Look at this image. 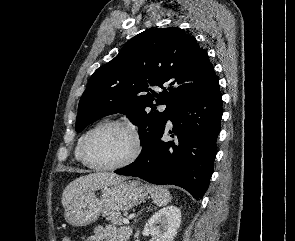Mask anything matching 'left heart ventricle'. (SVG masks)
<instances>
[{"label": "left heart ventricle", "mask_w": 295, "mask_h": 241, "mask_svg": "<svg viewBox=\"0 0 295 241\" xmlns=\"http://www.w3.org/2000/svg\"><path fill=\"white\" fill-rule=\"evenodd\" d=\"M134 149L131 133L120 127L103 130L90 144L89 155L93 162L112 165L127 159Z\"/></svg>", "instance_id": "obj_1"}]
</instances>
